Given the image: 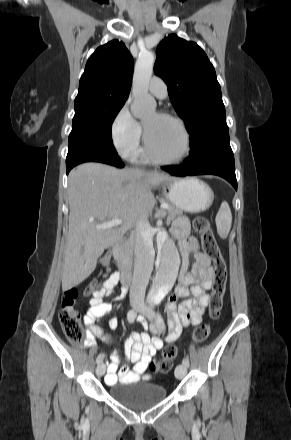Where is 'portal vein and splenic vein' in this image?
Returning a JSON list of instances; mask_svg holds the SVG:
<instances>
[{
  "label": "portal vein and splenic vein",
  "mask_w": 291,
  "mask_h": 440,
  "mask_svg": "<svg viewBox=\"0 0 291 440\" xmlns=\"http://www.w3.org/2000/svg\"><path fill=\"white\" fill-rule=\"evenodd\" d=\"M160 207H161V209H168L169 208V206L167 204H161ZM122 223H123V221L121 219H113L111 221H107V222H104V223L98 225L97 228L107 229V228H112V227L121 225Z\"/></svg>",
  "instance_id": "18ae733b"
}]
</instances>
